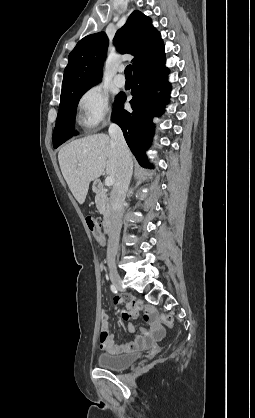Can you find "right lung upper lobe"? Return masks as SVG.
I'll list each match as a JSON object with an SVG mask.
<instances>
[{"label": "right lung upper lobe", "mask_w": 255, "mask_h": 418, "mask_svg": "<svg viewBox=\"0 0 255 418\" xmlns=\"http://www.w3.org/2000/svg\"><path fill=\"white\" fill-rule=\"evenodd\" d=\"M113 43L121 54L134 56V73L165 57L160 33L151 24V19L139 11H134L116 32ZM107 47L108 38L104 32L88 35L77 43L68 57L61 94L101 81Z\"/></svg>", "instance_id": "obj_1"}]
</instances>
